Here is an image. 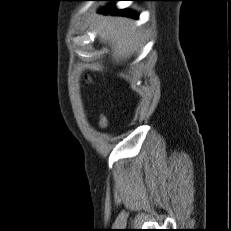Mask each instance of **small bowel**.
<instances>
[{
	"label": "small bowel",
	"mask_w": 231,
	"mask_h": 231,
	"mask_svg": "<svg viewBox=\"0 0 231 231\" xmlns=\"http://www.w3.org/2000/svg\"><path fill=\"white\" fill-rule=\"evenodd\" d=\"M105 124V119L103 118V117H101L100 119H99V125L100 126H103Z\"/></svg>",
	"instance_id": "c3829d8e"
}]
</instances>
